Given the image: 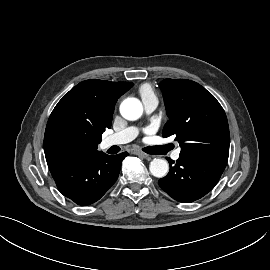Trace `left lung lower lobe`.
<instances>
[{
  "mask_svg": "<svg viewBox=\"0 0 270 270\" xmlns=\"http://www.w3.org/2000/svg\"><path fill=\"white\" fill-rule=\"evenodd\" d=\"M169 173L158 181L173 199L190 203L206 195L220 179L226 165L208 159L180 155L175 165L169 160Z\"/></svg>",
  "mask_w": 270,
  "mask_h": 270,
  "instance_id": "0a47b994",
  "label": "left lung lower lobe"
}]
</instances>
